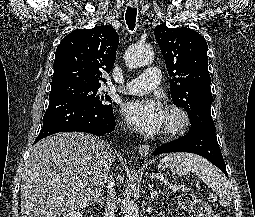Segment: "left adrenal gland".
Returning a JSON list of instances; mask_svg holds the SVG:
<instances>
[{
  "instance_id": "obj_1",
  "label": "left adrenal gland",
  "mask_w": 255,
  "mask_h": 217,
  "mask_svg": "<svg viewBox=\"0 0 255 217\" xmlns=\"http://www.w3.org/2000/svg\"><path fill=\"white\" fill-rule=\"evenodd\" d=\"M149 190H150V199H149V203H150L151 200H153L155 198V196H158L161 193V190H159V191L154 190L153 184L149 185ZM148 212L149 213L152 212V207L150 206V204L148 205Z\"/></svg>"
}]
</instances>
